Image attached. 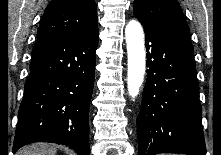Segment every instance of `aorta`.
I'll return each mask as SVG.
<instances>
[{
  "mask_svg": "<svg viewBox=\"0 0 221 155\" xmlns=\"http://www.w3.org/2000/svg\"><path fill=\"white\" fill-rule=\"evenodd\" d=\"M125 38L128 53V93L135 98L142 86L146 66L144 32L138 21L131 20L126 25Z\"/></svg>",
  "mask_w": 221,
  "mask_h": 155,
  "instance_id": "obj_1",
  "label": "aorta"
}]
</instances>
